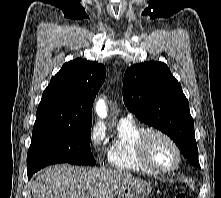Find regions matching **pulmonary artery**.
I'll use <instances>...</instances> for the list:
<instances>
[{"mask_svg": "<svg viewBox=\"0 0 221 198\" xmlns=\"http://www.w3.org/2000/svg\"><path fill=\"white\" fill-rule=\"evenodd\" d=\"M132 115L131 114H127L126 116L122 117L121 120H131Z\"/></svg>", "mask_w": 221, "mask_h": 198, "instance_id": "e3ab8cb5", "label": "pulmonary artery"}]
</instances>
